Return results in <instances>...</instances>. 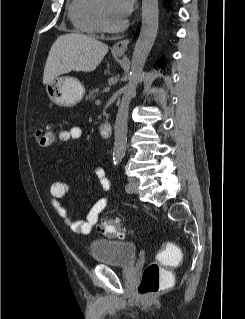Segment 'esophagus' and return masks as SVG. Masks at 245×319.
<instances>
[{
  "label": "esophagus",
  "instance_id": "34e87169",
  "mask_svg": "<svg viewBox=\"0 0 245 319\" xmlns=\"http://www.w3.org/2000/svg\"><path fill=\"white\" fill-rule=\"evenodd\" d=\"M129 42V39H123L121 41H118L113 45L112 51L116 54H124L128 48Z\"/></svg>",
  "mask_w": 245,
  "mask_h": 319
}]
</instances>
